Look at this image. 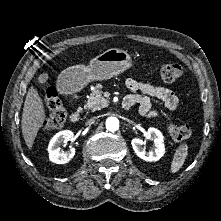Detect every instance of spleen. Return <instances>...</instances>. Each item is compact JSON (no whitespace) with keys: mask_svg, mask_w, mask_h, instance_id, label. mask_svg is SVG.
<instances>
[{"mask_svg":"<svg viewBox=\"0 0 221 221\" xmlns=\"http://www.w3.org/2000/svg\"><path fill=\"white\" fill-rule=\"evenodd\" d=\"M188 154V146L186 143L179 145L176 149L171 163V172L175 173L183 166Z\"/></svg>","mask_w":221,"mask_h":221,"instance_id":"3e777b00","label":"spleen"}]
</instances>
